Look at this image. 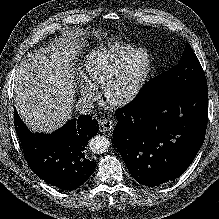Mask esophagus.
Returning a JSON list of instances; mask_svg holds the SVG:
<instances>
[{"label":"esophagus","mask_w":219,"mask_h":219,"mask_svg":"<svg viewBox=\"0 0 219 219\" xmlns=\"http://www.w3.org/2000/svg\"><path fill=\"white\" fill-rule=\"evenodd\" d=\"M99 123H100V128L103 131H110L114 126L113 121L111 119H108V118L100 119Z\"/></svg>","instance_id":"esophagus-1"}]
</instances>
